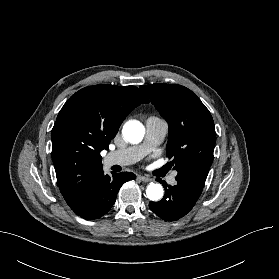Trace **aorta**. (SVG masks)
<instances>
[{
  "mask_svg": "<svg viewBox=\"0 0 279 279\" xmlns=\"http://www.w3.org/2000/svg\"><path fill=\"white\" fill-rule=\"evenodd\" d=\"M122 133L128 142L137 144L142 141L145 134V129L142 123L132 120L124 124ZM163 192V187L157 183H150L146 189V195L151 201H158L161 199Z\"/></svg>",
  "mask_w": 279,
  "mask_h": 279,
  "instance_id": "1",
  "label": "aorta"
}]
</instances>
